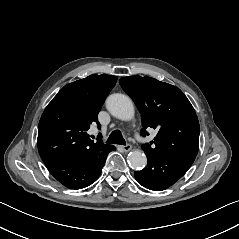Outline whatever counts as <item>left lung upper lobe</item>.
<instances>
[{
  "label": "left lung upper lobe",
  "instance_id": "left-lung-upper-lobe-1",
  "mask_svg": "<svg viewBox=\"0 0 239 239\" xmlns=\"http://www.w3.org/2000/svg\"><path fill=\"white\" fill-rule=\"evenodd\" d=\"M120 85L141 114V134L149 135L147 128L159 130L154 142L142 145L144 151L160 155H197L200 133L198 118L179 88L141 76L123 77ZM153 143L155 146H151Z\"/></svg>",
  "mask_w": 239,
  "mask_h": 239
}]
</instances>
